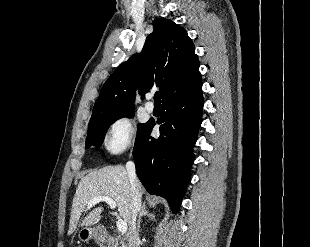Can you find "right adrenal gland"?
Returning <instances> with one entry per match:
<instances>
[{
	"instance_id": "obj_1",
	"label": "right adrenal gland",
	"mask_w": 310,
	"mask_h": 247,
	"mask_svg": "<svg viewBox=\"0 0 310 247\" xmlns=\"http://www.w3.org/2000/svg\"><path fill=\"white\" fill-rule=\"evenodd\" d=\"M144 216H147L153 220H155V215L153 213H149L147 210H146V205L145 203L142 205L141 207V210L139 212V218H138V224H137V231L139 232L140 231V223H141V220H142V217Z\"/></svg>"
}]
</instances>
